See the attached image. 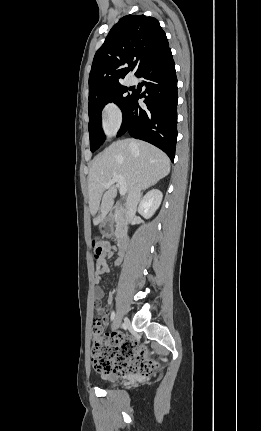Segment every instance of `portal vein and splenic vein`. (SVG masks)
<instances>
[{
	"mask_svg": "<svg viewBox=\"0 0 261 431\" xmlns=\"http://www.w3.org/2000/svg\"><path fill=\"white\" fill-rule=\"evenodd\" d=\"M114 183H118L120 195H125L127 186L124 177L120 175L114 176L108 183L105 184V188L108 189Z\"/></svg>",
	"mask_w": 261,
	"mask_h": 431,
	"instance_id": "portal-vein-and-splenic-vein-1",
	"label": "portal vein and splenic vein"
}]
</instances>
